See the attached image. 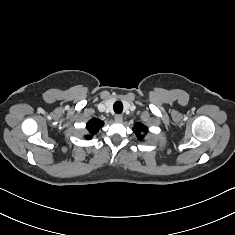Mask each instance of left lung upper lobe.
Segmentation results:
<instances>
[{
  "instance_id": "5c2ea615",
  "label": "left lung upper lobe",
  "mask_w": 235,
  "mask_h": 235,
  "mask_svg": "<svg viewBox=\"0 0 235 235\" xmlns=\"http://www.w3.org/2000/svg\"><path fill=\"white\" fill-rule=\"evenodd\" d=\"M133 131L135 132L138 140H142L144 136L141 135V132H147V127L141 123H136Z\"/></svg>"
}]
</instances>
